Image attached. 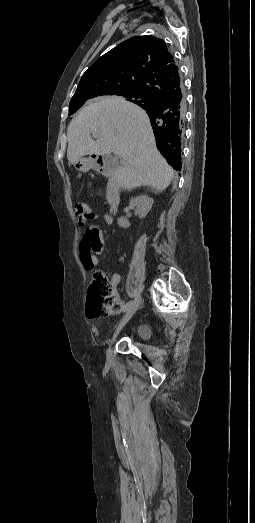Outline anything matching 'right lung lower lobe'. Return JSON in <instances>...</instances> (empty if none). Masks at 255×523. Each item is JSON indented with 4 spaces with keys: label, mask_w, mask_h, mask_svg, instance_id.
Here are the masks:
<instances>
[{
    "label": "right lung lower lobe",
    "mask_w": 255,
    "mask_h": 523,
    "mask_svg": "<svg viewBox=\"0 0 255 523\" xmlns=\"http://www.w3.org/2000/svg\"><path fill=\"white\" fill-rule=\"evenodd\" d=\"M181 104V99L174 96L165 101L159 102L152 113L156 123L155 128L157 130L154 133L153 138L156 142L164 145V150L169 155L178 152L181 148L180 142L173 139L180 133L176 112ZM179 170H181V167Z\"/></svg>",
    "instance_id": "obj_1"
}]
</instances>
